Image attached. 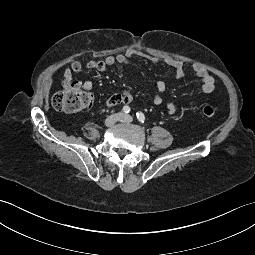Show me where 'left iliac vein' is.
Returning a JSON list of instances; mask_svg holds the SVG:
<instances>
[{"instance_id": "obj_1", "label": "left iliac vein", "mask_w": 255, "mask_h": 255, "mask_svg": "<svg viewBox=\"0 0 255 255\" xmlns=\"http://www.w3.org/2000/svg\"><path fill=\"white\" fill-rule=\"evenodd\" d=\"M119 121H121V122H128L129 123V122L133 121V118L130 115L122 114V117H121V119Z\"/></svg>"}]
</instances>
